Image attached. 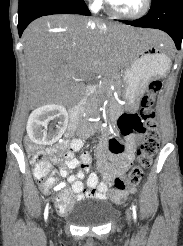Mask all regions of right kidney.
<instances>
[{
    "label": "right kidney",
    "instance_id": "right-kidney-1",
    "mask_svg": "<svg viewBox=\"0 0 183 246\" xmlns=\"http://www.w3.org/2000/svg\"><path fill=\"white\" fill-rule=\"evenodd\" d=\"M50 121L56 130L45 131ZM68 123V114L61 105L50 104L34 110L27 122V134L38 145H50L56 142L64 133Z\"/></svg>",
    "mask_w": 183,
    "mask_h": 246
}]
</instances>
